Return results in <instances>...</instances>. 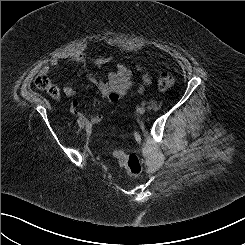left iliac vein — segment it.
<instances>
[{"mask_svg":"<svg viewBox=\"0 0 245 245\" xmlns=\"http://www.w3.org/2000/svg\"><path fill=\"white\" fill-rule=\"evenodd\" d=\"M137 111H138V113H140V114H144V113L146 112V108H144V107H139V108L137 109Z\"/></svg>","mask_w":245,"mask_h":245,"instance_id":"obj_1","label":"left iliac vein"}]
</instances>
